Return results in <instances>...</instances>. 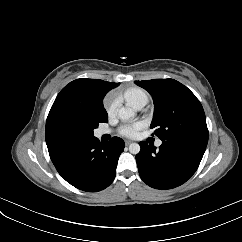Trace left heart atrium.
Masks as SVG:
<instances>
[{"label":"left heart atrium","instance_id":"1","mask_svg":"<svg viewBox=\"0 0 242 242\" xmlns=\"http://www.w3.org/2000/svg\"><path fill=\"white\" fill-rule=\"evenodd\" d=\"M144 128V123L136 122L132 124H125L123 125L119 132L121 135L128 137V138H135L138 136L139 131Z\"/></svg>","mask_w":242,"mask_h":242}]
</instances>
